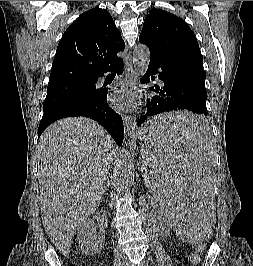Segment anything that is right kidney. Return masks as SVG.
I'll use <instances>...</instances> for the list:
<instances>
[{"label": "right kidney", "instance_id": "obj_1", "mask_svg": "<svg viewBox=\"0 0 253 266\" xmlns=\"http://www.w3.org/2000/svg\"><path fill=\"white\" fill-rule=\"evenodd\" d=\"M77 239L83 254L94 255L102 249L105 237L97 233L94 220L87 219L77 229Z\"/></svg>", "mask_w": 253, "mask_h": 266}]
</instances>
